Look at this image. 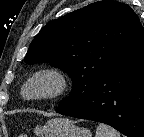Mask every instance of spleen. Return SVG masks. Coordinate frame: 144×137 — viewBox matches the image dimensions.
<instances>
[{"label": "spleen", "instance_id": "spleen-1", "mask_svg": "<svg viewBox=\"0 0 144 137\" xmlns=\"http://www.w3.org/2000/svg\"><path fill=\"white\" fill-rule=\"evenodd\" d=\"M95 137H120V133L109 125L99 123L96 128Z\"/></svg>", "mask_w": 144, "mask_h": 137}]
</instances>
